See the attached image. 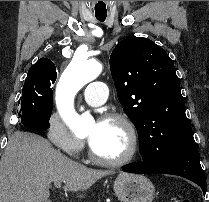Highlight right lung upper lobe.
<instances>
[{"label":"right lung upper lobe","mask_w":209,"mask_h":202,"mask_svg":"<svg viewBox=\"0 0 209 202\" xmlns=\"http://www.w3.org/2000/svg\"><path fill=\"white\" fill-rule=\"evenodd\" d=\"M35 75L57 76L56 67L51 60L47 58H40L33 66L29 68L26 78H30Z\"/></svg>","instance_id":"right-lung-upper-lobe-1"}]
</instances>
